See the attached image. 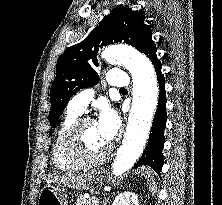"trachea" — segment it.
I'll return each instance as SVG.
<instances>
[{
	"label": "trachea",
	"mask_w": 222,
	"mask_h": 205,
	"mask_svg": "<svg viewBox=\"0 0 222 205\" xmlns=\"http://www.w3.org/2000/svg\"><path fill=\"white\" fill-rule=\"evenodd\" d=\"M120 90H126V89L122 88V89H120Z\"/></svg>",
	"instance_id": "3493384b"
}]
</instances>
